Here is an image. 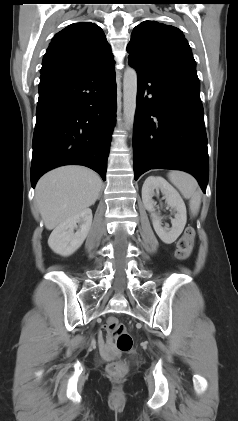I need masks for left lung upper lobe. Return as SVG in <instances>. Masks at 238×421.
<instances>
[{"mask_svg": "<svg viewBox=\"0 0 238 421\" xmlns=\"http://www.w3.org/2000/svg\"><path fill=\"white\" fill-rule=\"evenodd\" d=\"M127 51L129 62L152 73L196 67L182 31L156 21H144L134 28Z\"/></svg>", "mask_w": 238, "mask_h": 421, "instance_id": "obj_1", "label": "left lung upper lobe"}]
</instances>
